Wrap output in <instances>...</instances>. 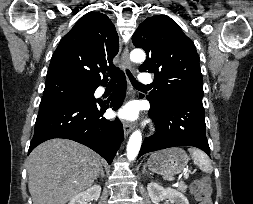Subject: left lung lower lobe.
I'll return each mask as SVG.
<instances>
[{
  "instance_id": "1",
  "label": "left lung lower lobe",
  "mask_w": 253,
  "mask_h": 204,
  "mask_svg": "<svg viewBox=\"0 0 253 204\" xmlns=\"http://www.w3.org/2000/svg\"><path fill=\"white\" fill-rule=\"evenodd\" d=\"M151 104L149 117L157 131L142 144L138 158L145 153L176 146H194L210 155L202 99L176 101L163 107Z\"/></svg>"
}]
</instances>
